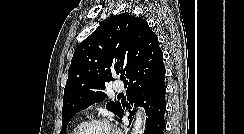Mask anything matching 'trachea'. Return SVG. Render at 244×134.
<instances>
[{
  "instance_id": "trachea-1",
  "label": "trachea",
  "mask_w": 244,
  "mask_h": 134,
  "mask_svg": "<svg viewBox=\"0 0 244 134\" xmlns=\"http://www.w3.org/2000/svg\"><path fill=\"white\" fill-rule=\"evenodd\" d=\"M123 94H119L118 97H121Z\"/></svg>"
}]
</instances>
